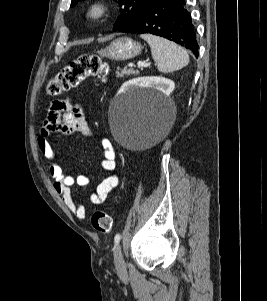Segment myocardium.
<instances>
[{
  "mask_svg": "<svg viewBox=\"0 0 267 301\" xmlns=\"http://www.w3.org/2000/svg\"><path fill=\"white\" fill-rule=\"evenodd\" d=\"M110 14V6L102 0L93 1L87 8L86 19L91 23L104 21Z\"/></svg>",
  "mask_w": 267,
  "mask_h": 301,
  "instance_id": "myocardium-1",
  "label": "myocardium"
}]
</instances>
